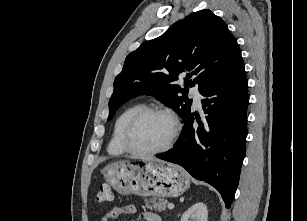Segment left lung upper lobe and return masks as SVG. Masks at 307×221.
<instances>
[{"label":"left lung upper lobe","instance_id":"5c2ea615","mask_svg":"<svg viewBox=\"0 0 307 221\" xmlns=\"http://www.w3.org/2000/svg\"><path fill=\"white\" fill-rule=\"evenodd\" d=\"M239 53L237 40L220 17L210 10L192 13L126 57L114 81L108 120L129 99L152 95L177 111L185 122L192 104L186 98L188 88L197 83L202 94ZM179 75H185V88L175 84ZM191 77H195L193 82Z\"/></svg>","mask_w":307,"mask_h":221}]
</instances>
